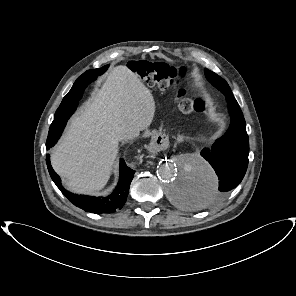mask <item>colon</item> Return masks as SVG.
<instances>
[{"label": "colon", "instance_id": "1", "mask_svg": "<svg viewBox=\"0 0 296 296\" xmlns=\"http://www.w3.org/2000/svg\"><path fill=\"white\" fill-rule=\"evenodd\" d=\"M131 71L141 77L150 85H158L162 88H169L180 83L183 73L182 70L171 67L165 63H150L147 61H131L129 63ZM178 106L182 113L204 112L207 104L203 99L192 100L185 96L182 90L178 92Z\"/></svg>", "mask_w": 296, "mask_h": 296}]
</instances>
